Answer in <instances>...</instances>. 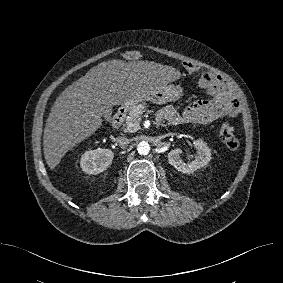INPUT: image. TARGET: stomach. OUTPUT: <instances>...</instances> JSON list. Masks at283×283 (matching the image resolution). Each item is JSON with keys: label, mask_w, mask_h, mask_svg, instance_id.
<instances>
[{"label": "stomach", "mask_w": 283, "mask_h": 283, "mask_svg": "<svg viewBox=\"0 0 283 283\" xmlns=\"http://www.w3.org/2000/svg\"><path fill=\"white\" fill-rule=\"evenodd\" d=\"M182 88L178 85H168L166 83L154 87L124 103V107L131 109L139 102L150 101L155 104H165L176 101L182 97Z\"/></svg>", "instance_id": "obj_1"}]
</instances>
